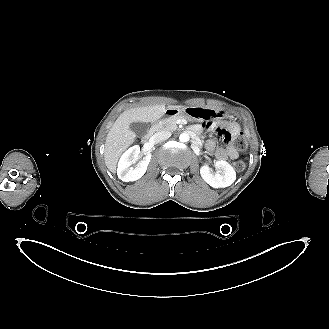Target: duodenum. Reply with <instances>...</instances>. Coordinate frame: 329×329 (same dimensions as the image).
Listing matches in <instances>:
<instances>
[{
  "label": "duodenum",
  "mask_w": 329,
  "mask_h": 329,
  "mask_svg": "<svg viewBox=\"0 0 329 329\" xmlns=\"http://www.w3.org/2000/svg\"><path fill=\"white\" fill-rule=\"evenodd\" d=\"M177 113H178L177 110L172 109V108L167 109L165 111V115L168 117L175 116ZM151 136H152L151 132H147L142 138L143 142L148 143L151 139Z\"/></svg>",
  "instance_id": "duodenum-1"
}]
</instances>
